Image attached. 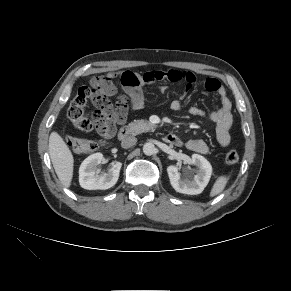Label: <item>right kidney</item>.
Returning <instances> with one entry per match:
<instances>
[{"label": "right kidney", "instance_id": "right-kidney-1", "mask_svg": "<svg viewBox=\"0 0 291 291\" xmlns=\"http://www.w3.org/2000/svg\"><path fill=\"white\" fill-rule=\"evenodd\" d=\"M102 160L103 155L101 153H94L82 162L79 168V183L82 188L87 190H106L116 184L122 163L113 162L107 173L97 175L96 171Z\"/></svg>", "mask_w": 291, "mask_h": 291}]
</instances>
